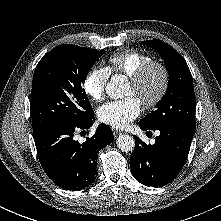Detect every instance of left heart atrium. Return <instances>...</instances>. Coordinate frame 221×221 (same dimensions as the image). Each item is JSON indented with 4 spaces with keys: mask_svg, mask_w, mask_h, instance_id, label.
<instances>
[{
    "mask_svg": "<svg viewBox=\"0 0 221 221\" xmlns=\"http://www.w3.org/2000/svg\"><path fill=\"white\" fill-rule=\"evenodd\" d=\"M140 114V101L134 96H128L122 100L109 101L100 106L97 111L101 122L117 129L125 128Z\"/></svg>",
    "mask_w": 221,
    "mask_h": 221,
    "instance_id": "left-heart-atrium-1",
    "label": "left heart atrium"
}]
</instances>
